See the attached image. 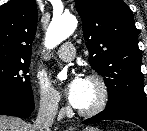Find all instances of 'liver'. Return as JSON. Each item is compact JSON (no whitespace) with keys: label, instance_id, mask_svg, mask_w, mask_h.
<instances>
[{"label":"liver","instance_id":"6515ba94","mask_svg":"<svg viewBox=\"0 0 147 131\" xmlns=\"http://www.w3.org/2000/svg\"><path fill=\"white\" fill-rule=\"evenodd\" d=\"M0 131H35L34 125L28 124L24 120L0 115Z\"/></svg>","mask_w":147,"mask_h":131}]
</instances>
